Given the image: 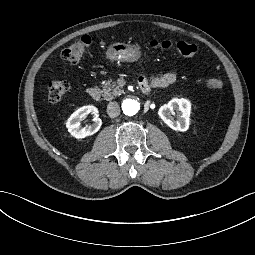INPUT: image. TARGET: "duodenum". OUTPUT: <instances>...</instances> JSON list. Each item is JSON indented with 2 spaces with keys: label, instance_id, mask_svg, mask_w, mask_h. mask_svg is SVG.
Here are the masks:
<instances>
[{
  "label": "duodenum",
  "instance_id": "410a0bca",
  "mask_svg": "<svg viewBox=\"0 0 255 255\" xmlns=\"http://www.w3.org/2000/svg\"><path fill=\"white\" fill-rule=\"evenodd\" d=\"M139 87H140V90L145 94H148L151 90V84L143 78L139 79ZM87 94L93 100H99L101 96L100 90L97 87H89L87 89Z\"/></svg>",
  "mask_w": 255,
  "mask_h": 255
}]
</instances>
